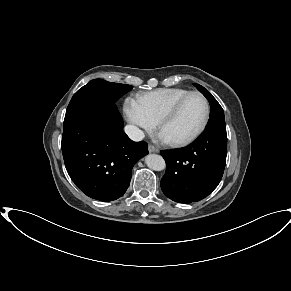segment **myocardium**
<instances>
[{
	"label": "myocardium",
	"mask_w": 291,
	"mask_h": 291,
	"mask_svg": "<svg viewBox=\"0 0 291 291\" xmlns=\"http://www.w3.org/2000/svg\"><path fill=\"white\" fill-rule=\"evenodd\" d=\"M192 96H199L202 98V100L205 103V113H204V117L203 120L200 124V126L189 136L182 138V139H178V140H167V143L171 146L174 147H182V146H186L190 143H192L193 141H195L206 129L207 124L209 122V118H210V104L209 101L207 100V98L200 92L197 91H192L189 92L188 94H186L185 96H183L180 100H178L163 116L162 118L159 120L158 122V129L161 132L162 129L164 128V126L166 124H168L170 121H172L179 113V111L181 110L182 106L184 105V103Z\"/></svg>",
	"instance_id": "obj_1"
}]
</instances>
